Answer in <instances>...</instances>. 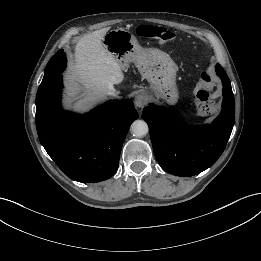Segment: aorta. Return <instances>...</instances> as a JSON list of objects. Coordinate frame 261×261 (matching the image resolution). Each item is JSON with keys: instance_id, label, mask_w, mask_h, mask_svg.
Masks as SVG:
<instances>
[{"instance_id": "obj_1", "label": "aorta", "mask_w": 261, "mask_h": 261, "mask_svg": "<svg viewBox=\"0 0 261 261\" xmlns=\"http://www.w3.org/2000/svg\"><path fill=\"white\" fill-rule=\"evenodd\" d=\"M148 125L143 120H135L131 125V133L136 137H143L148 133Z\"/></svg>"}]
</instances>
